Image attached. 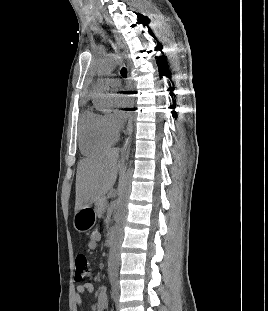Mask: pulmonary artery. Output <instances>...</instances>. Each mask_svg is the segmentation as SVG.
<instances>
[{
    "instance_id": "1",
    "label": "pulmonary artery",
    "mask_w": 268,
    "mask_h": 311,
    "mask_svg": "<svg viewBox=\"0 0 268 311\" xmlns=\"http://www.w3.org/2000/svg\"><path fill=\"white\" fill-rule=\"evenodd\" d=\"M106 84L112 88H117L120 86V80L117 78H108L106 79Z\"/></svg>"
}]
</instances>
